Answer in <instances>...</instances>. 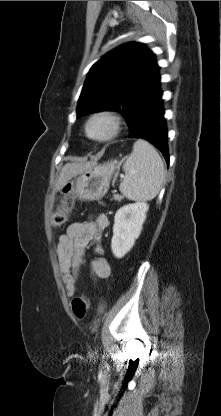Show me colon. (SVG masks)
I'll return each mask as SVG.
<instances>
[{"instance_id":"5ec220e1","label":"colon","mask_w":221,"mask_h":416,"mask_svg":"<svg viewBox=\"0 0 221 416\" xmlns=\"http://www.w3.org/2000/svg\"><path fill=\"white\" fill-rule=\"evenodd\" d=\"M71 193H72V185L67 184L63 190L61 207L58 211H56L52 215V220H51L52 225L62 226L65 223H67L71 209H72V205H73V199H72ZM71 306H72V311L75 317L79 320H83L86 317L87 311H88V306H89L88 297L84 294H81L75 297L72 300Z\"/></svg>"}]
</instances>
